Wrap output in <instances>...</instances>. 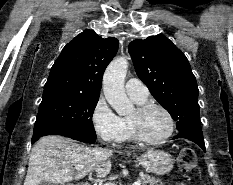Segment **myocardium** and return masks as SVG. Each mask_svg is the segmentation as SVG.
<instances>
[{"label": "myocardium", "mask_w": 233, "mask_h": 185, "mask_svg": "<svg viewBox=\"0 0 233 185\" xmlns=\"http://www.w3.org/2000/svg\"><path fill=\"white\" fill-rule=\"evenodd\" d=\"M151 108H157L161 110L168 118L169 121V130L161 138L150 139L142 131L141 127V117L142 115ZM133 134L136 140L143 142L148 145H159L167 141L174 134L175 131V120L171 112L162 104L153 101H145L141 104H138L135 109V115L129 117Z\"/></svg>", "instance_id": "f54148a6"}]
</instances>
